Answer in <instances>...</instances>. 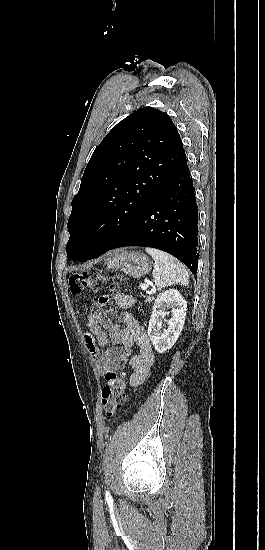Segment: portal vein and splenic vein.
<instances>
[{
  "label": "portal vein and splenic vein",
  "instance_id": "1",
  "mask_svg": "<svg viewBox=\"0 0 265 550\" xmlns=\"http://www.w3.org/2000/svg\"><path fill=\"white\" fill-rule=\"evenodd\" d=\"M148 286H149L148 283H144V284L141 285V289L142 290H147Z\"/></svg>",
  "mask_w": 265,
  "mask_h": 550
}]
</instances>
